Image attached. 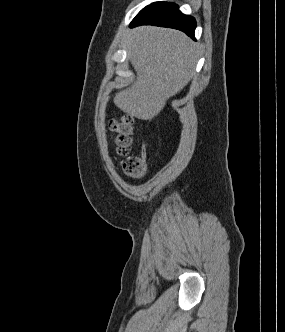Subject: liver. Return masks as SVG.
Wrapping results in <instances>:
<instances>
[{
	"mask_svg": "<svg viewBox=\"0 0 285 332\" xmlns=\"http://www.w3.org/2000/svg\"><path fill=\"white\" fill-rule=\"evenodd\" d=\"M198 46L184 33L154 26L131 31L128 56L137 77L116 93L115 105L124 113L151 120L179 93L193 76Z\"/></svg>",
	"mask_w": 285,
	"mask_h": 332,
	"instance_id": "6515ba94",
	"label": "liver"
}]
</instances>
